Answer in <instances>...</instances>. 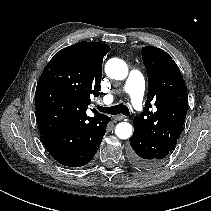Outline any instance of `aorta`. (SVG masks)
<instances>
[{
  "instance_id": "obj_1",
  "label": "aorta",
  "mask_w": 211,
  "mask_h": 211,
  "mask_svg": "<svg viewBox=\"0 0 211 211\" xmlns=\"http://www.w3.org/2000/svg\"><path fill=\"white\" fill-rule=\"evenodd\" d=\"M105 72L107 76L115 80H123L128 75V66L127 64L118 58H112L108 60L105 65ZM133 132L132 125L127 122H121L117 124L115 128V134L120 139H128L131 137Z\"/></svg>"
}]
</instances>
